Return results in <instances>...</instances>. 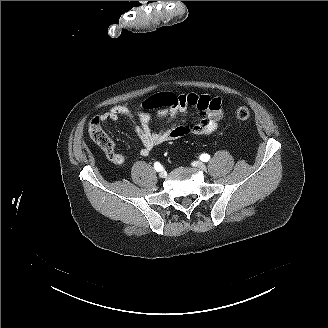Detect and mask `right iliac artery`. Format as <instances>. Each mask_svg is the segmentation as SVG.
Masks as SVG:
<instances>
[{
  "instance_id": "right-iliac-artery-1",
  "label": "right iliac artery",
  "mask_w": 328,
  "mask_h": 328,
  "mask_svg": "<svg viewBox=\"0 0 328 328\" xmlns=\"http://www.w3.org/2000/svg\"><path fill=\"white\" fill-rule=\"evenodd\" d=\"M154 168L157 172L161 171L162 170V166L159 162H155L154 163Z\"/></svg>"
}]
</instances>
